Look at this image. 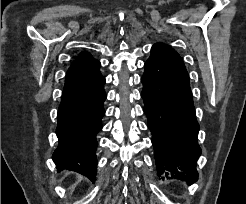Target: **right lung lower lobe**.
Returning <instances> with one entry per match:
<instances>
[{"label": "right lung lower lobe", "instance_id": "obj_1", "mask_svg": "<svg viewBox=\"0 0 246 204\" xmlns=\"http://www.w3.org/2000/svg\"><path fill=\"white\" fill-rule=\"evenodd\" d=\"M99 66L96 59L75 60L68 69L58 110L59 144L52 156L58 171H76L91 180L96 175V134L105 114V78Z\"/></svg>", "mask_w": 246, "mask_h": 204}]
</instances>
